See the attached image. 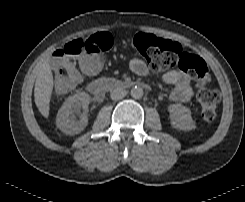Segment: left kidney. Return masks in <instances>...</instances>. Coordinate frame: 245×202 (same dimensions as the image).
Wrapping results in <instances>:
<instances>
[{"label": "left kidney", "mask_w": 245, "mask_h": 202, "mask_svg": "<svg viewBox=\"0 0 245 202\" xmlns=\"http://www.w3.org/2000/svg\"><path fill=\"white\" fill-rule=\"evenodd\" d=\"M171 125L178 130H192L195 123L191 117L189 108L181 104H172L169 106Z\"/></svg>", "instance_id": "left-kidney-1"}]
</instances>
